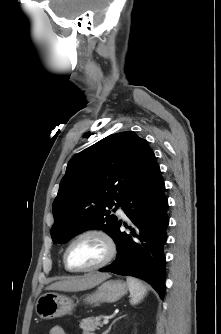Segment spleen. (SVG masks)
Segmentation results:
<instances>
[{
    "label": "spleen",
    "instance_id": "1",
    "mask_svg": "<svg viewBox=\"0 0 221 334\" xmlns=\"http://www.w3.org/2000/svg\"><path fill=\"white\" fill-rule=\"evenodd\" d=\"M126 280L130 292V303L136 305L145 297L147 289L139 279L128 276Z\"/></svg>",
    "mask_w": 221,
    "mask_h": 334
}]
</instances>
